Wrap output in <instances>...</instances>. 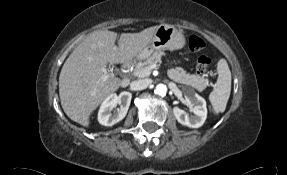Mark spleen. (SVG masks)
Instances as JSON below:
<instances>
[{"instance_id":"spleen-1","label":"spleen","mask_w":287,"mask_h":175,"mask_svg":"<svg viewBox=\"0 0 287 175\" xmlns=\"http://www.w3.org/2000/svg\"><path fill=\"white\" fill-rule=\"evenodd\" d=\"M218 79L216 87L209 95V100L216 114L224 112L231 93V72L225 59L217 64Z\"/></svg>"}]
</instances>
